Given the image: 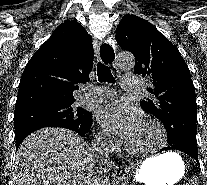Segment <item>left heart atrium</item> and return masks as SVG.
Instances as JSON below:
<instances>
[{"mask_svg":"<svg viewBox=\"0 0 207 185\" xmlns=\"http://www.w3.org/2000/svg\"><path fill=\"white\" fill-rule=\"evenodd\" d=\"M98 120L106 131L128 139L144 122V116L138 107L117 100L99 111Z\"/></svg>","mask_w":207,"mask_h":185,"instance_id":"1","label":"left heart atrium"}]
</instances>
